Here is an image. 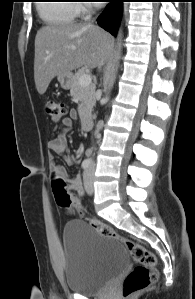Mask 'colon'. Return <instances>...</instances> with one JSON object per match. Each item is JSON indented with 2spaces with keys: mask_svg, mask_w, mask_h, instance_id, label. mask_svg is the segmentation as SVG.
Segmentation results:
<instances>
[{
  "mask_svg": "<svg viewBox=\"0 0 195 299\" xmlns=\"http://www.w3.org/2000/svg\"><path fill=\"white\" fill-rule=\"evenodd\" d=\"M45 110L51 120L57 123L65 118L68 107L63 101L48 100L45 103ZM52 189L55 201L60 207H73L83 212L80 200L70 195L67 184L63 178L55 177L53 179ZM84 219H86L100 235L112 238L123 244L132 258L138 263L123 281L122 293L124 297L132 296L156 281L157 274L154 268L157 264V258L151 251L147 250L141 244L119 234L111 226L95 218L85 216Z\"/></svg>",
  "mask_w": 195,
  "mask_h": 299,
  "instance_id": "obj_1",
  "label": "colon"
}]
</instances>
